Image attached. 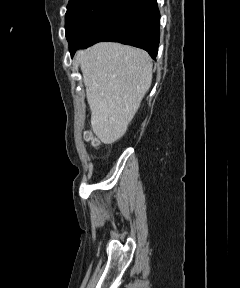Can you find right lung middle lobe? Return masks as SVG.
I'll return each instance as SVG.
<instances>
[{
	"mask_svg": "<svg viewBox=\"0 0 240 288\" xmlns=\"http://www.w3.org/2000/svg\"><path fill=\"white\" fill-rule=\"evenodd\" d=\"M118 0H70L65 15L69 46L83 41L91 28Z\"/></svg>",
	"mask_w": 240,
	"mask_h": 288,
	"instance_id": "obj_1",
	"label": "right lung middle lobe"
}]
</instances>
